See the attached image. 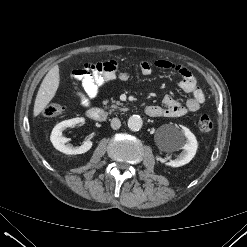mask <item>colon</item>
Returning <instances> with one entry per match:
<instances>
[{
    "instance_id": "obj_1",
    "label": "colon",
    "mask_w": 247,
    "mask_h": 247,
    "mask_svg": "<svg viewBox=\"0 0 247 247\" xmlns=\"http://www.w3.org/2000/svg\"><path fill=\"white\" fill-rule=\"evenodd\" d=\"M63 111L64 107L62 105L51 103L44 108L43 115L46 117H55L62 114ZM197 128L202 133L211 131V129L213 128V122L211 118L206 114L201 115L197 120Z\"/></svg>"
}]
</instances>
